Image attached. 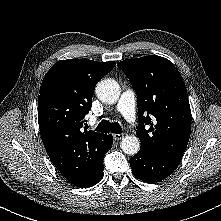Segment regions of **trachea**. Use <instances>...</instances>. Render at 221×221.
<instances>
[{"mask_svg":"<svg viewBox=\"0 0 221 221\" xmlns=\"http://www.w3.org/2000/svg\"><path fill=\"white\" fill-rule=\"evenodd\" d=\"M95 130L103 133H109V132H113L115 134L122 133V128L119 123L117 122L111 123L108 120L101 121Z\"/></svg>","mask_w":221,"mask_h":221,"instance_id":"obj_1","label":"trachea"}]
</instances>
